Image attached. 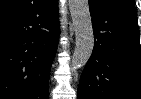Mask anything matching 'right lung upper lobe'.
<instances>
[{"label": "right lung upper lobe", "instance_id": "1", "mask_svg": "<svg viewBox=\"0 0 141 99\" xmlns=\"http://www.w3.org/2000/svg\"><path fill=\"white\" fill-rule=\"evenodd\" d=\"M27 0H0V14L4 13L12 8H15Z\"/></svg>", "mask_w": 141, "mask_h": 99}]
</instances>
